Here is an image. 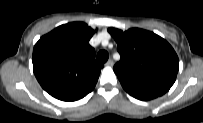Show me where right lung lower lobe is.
<instances>
[{
    "instance_id": "98d812e1",
    "label": "right lung lower lobe",
    "mask_w": 203,
    "mask_h": 123,
    "mask_svg": "<svg viewBox=\"0 0 203 123\" xmlns=\"http://www.w3.org/2000/svg\"><path fill=\"white\" fill-rule=\"evenodd\" d=\"M89 92H86V93L78 95V96L60 98L59 100H62V101H76V100H79V99L83 98L84 96H86Z\"/></svg>"
}]
</instances>
